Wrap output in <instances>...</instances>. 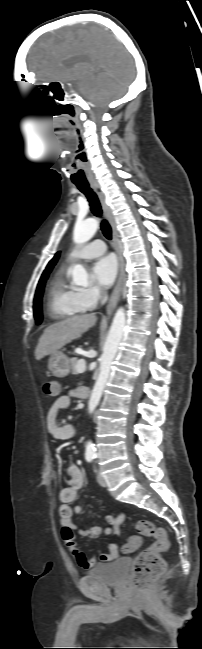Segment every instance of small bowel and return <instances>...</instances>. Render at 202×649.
Wrapping results in <instances>:
<instances>
[{
    "mask_svg": "<svg viewBox=\"0 0 202 649\" xmlns=\"http://www.w3.org/2000/svg\"><path fill=\"white\" fill-rule=\"evenodd\" d=\"M84 388L78 387L72 389L68 395H63L56 399L50 406L46 414V428L47 432L53 440H67L75 435L76 427L72 423L61 425L58 423V415L61 410L69 408L71 398H83ZM69 480L67 487L62 489L59 495L60 501L63 505L60 507V523L62 525V537L66 545L70 548L76 558L77 563L84 569L93 567L98 560L108 562L113 560L118 555V546L115 540L109 542V551L100 552L98 557L94 555H87L77 547V535L88 538H97L102 533L112 538L119 536L120 526L123 523L124 514L108 515L106 517L107 524L105 527L94 526L91 528H82L75 525L72 521L74 514H81L84 512L86 506L84 504H77L73 508L69 504L73 503L78 492L84 485V475L76 464H71L67 469Z\"/></svg>",
    "mask_w": 202,
    "mask_h": 649,
    "instance_id": "small-bowel-1",
    "label": "small bowel"
}]
</instances>
